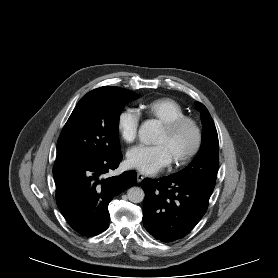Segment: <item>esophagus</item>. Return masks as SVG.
<instances>
[{"instance_id":"obj_1","label":"esophagus","mask_w":278,"mask_h":278,"mask_svg":"<svg viewBox=\"0 0 278 278\" xmlns=\"http://www.w3.org/2000/svg\"><path fill=\"white\" fill-rule=\"evenodd\" d=\"M144 179V176L141 173L137 174V182L140 183Z\"/></svg>"}]
</instances>
